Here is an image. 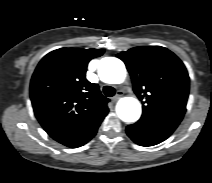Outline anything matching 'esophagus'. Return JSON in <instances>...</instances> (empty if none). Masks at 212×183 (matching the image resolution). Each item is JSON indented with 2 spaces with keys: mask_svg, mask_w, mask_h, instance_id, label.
Segmentation results:
<instances>
[{
  "mask_svg": "<svg viewBox=\"0 0 212 183\" xmlns=\"http://www.w3.org/2000/svg\"><path fill=\"white\" fill-rule=\"evenodd\" d=\"M123 95V92L121 90H118L116 95L112 97L113 101H116L118 98H120Z\"/></svg>",
  "mask_w": 212,
  "mask_h": 183,
  "instance_id": "obj_1",
  "label": "esophagus"
}]
</instances>
